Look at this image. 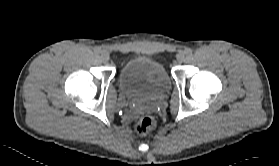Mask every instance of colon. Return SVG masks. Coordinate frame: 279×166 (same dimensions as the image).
Masks as SVG:
<instances>
[{"label": "colon", "instance_id": "1", "mask_svg": "<svg viewBox=\"0 0 279 166\" xmlns=\"http://www.w3.org/2000/svg\"><path fill=\"white\" fill-rule=\"evenodd\" d=\"M155 126L156 120L151 114L141 116L136 123V128L140 133H147L154 129Z\"/></svg>", "mask_w": 279, "mask_h": 166}]
</instances>
